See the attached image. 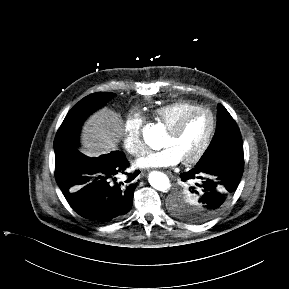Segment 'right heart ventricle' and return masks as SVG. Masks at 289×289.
Segmentation results:
<instances>
[{
    "label": "right heart ventricle",
    "mask_w": 289,
    "mask_h": 289,
    "mask_svg": "<svg viewBox=\"0 0 289 289\" xmlns=\"http://www.w3.org/2000/svg\"><path fill=\"white\" fill-rule=\"evenodd\" d=\"M195 103L185 100H178L161 105L152 111L153 118L161 123L166 129L172 126L184 113L198 108Z\"/></svg>",
    "instance_id": "right-heart-ventricle-1"
}]
</instances>
